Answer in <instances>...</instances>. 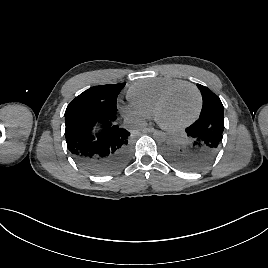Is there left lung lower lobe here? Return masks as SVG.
<instances>
[{"label":"left lung lower lobe","instance_id":"left-lung-lower-lobe-1","mask_svg":"<svg viewBox=\"0 0 268 268\" xmlns=\"http://www.w3.org/2000/svg\"><path fill=\"white\" fill-rule=\"evenodd\" d=\"M224 117L200 118L166 149L168 158L184 170H198L216 157L222 145Z\"/></svg>","mask_w":268,"mask_h":268}]
</instances>
